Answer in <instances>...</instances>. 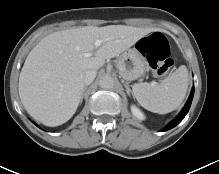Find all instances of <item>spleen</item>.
<instances>
[{
	"label": "spleen",
	"mask_w": 219,
	"mask_h": 174,
	"mask_svg": "<svg viewBox=\"0 0 219 174\" xmlns=\"http://www.w3.org/2000/svg\"><path fill=\"white\" fill-rule=\"evenodd\" d=\"M188 88V71L180 66L161 83H137L132 86L133 94L145 109L166 114L177 109L183 102Z\"/></svg>",
	"instance_id": "spleen-1"
}]
</instances>
